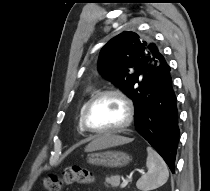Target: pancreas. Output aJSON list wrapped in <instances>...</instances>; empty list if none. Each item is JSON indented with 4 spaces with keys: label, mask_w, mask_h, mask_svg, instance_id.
I'll use <instances>...</instances> for the list:
<instances>
[{
    "label": "pancreas",
    "mask_w": 210,
    "mask_h": 191,
    "mask_svg": "<svg viewBox=\"0 0 210 191\" xmlns=\"http://www.w3.org/2000/svg\"><path fill=\"white\" fill-rule=\"evenodd\" d=\"M105 184L108 186L110 184L112 187H117L120 184L119 176L106 177Z\"/></svg>",
    "instance_id": "obj_1"
}]
</instances>
